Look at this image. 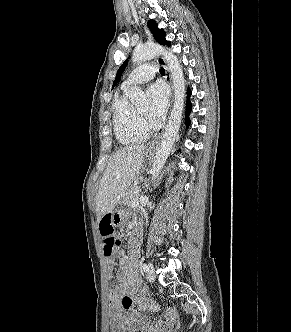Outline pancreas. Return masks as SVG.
I'll use <instances>...</instances> for the list:
<instances>
[{
    "instance_id": "pancreas-1",
    "label": "pancreas",
    "mask_w": 291,
    "mask_h": 332,
    "mask_svg": "<svg viewBox=\"0 0 291 332\" xmlns=\"http://www.w3.org/2000/svg\"><path fill=\"white\" fill-rule=\"evenodd\" d=\"M140 187L129 186L123 193L120 199V203L124 206H130L132 202L137 201L139 197Z\"/></svg>"
}]
</instances>
